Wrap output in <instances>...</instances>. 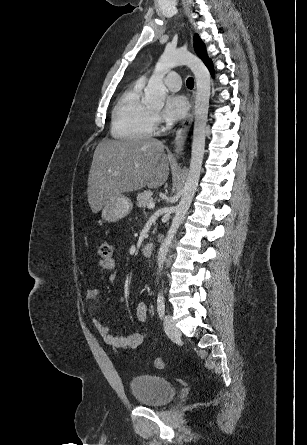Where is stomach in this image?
I'll use <instances>...</instances> for the list:
<instances>
[{
  "mask_svg": "<svg viewBox=\"0 0 307 445\" xmlns=\"http://www.w3.org/2000/svg\"><path fill=\"white\" fill-rule=\"evenodd\" d=\"M133 208V202L126 194H115L112 198H108L106 204L102 208V218L107 223H116L127 216Z\"/></svg>",
  "mask_w": 307,
  "mask_h": 445,
  "instance_id": "stomach-1",
  "label": "stomach"
}]
</instances>
